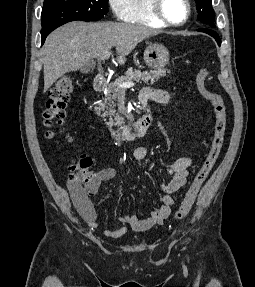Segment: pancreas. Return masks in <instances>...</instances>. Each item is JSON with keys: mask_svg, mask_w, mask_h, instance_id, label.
<instances>
[{"mask_svg": "<svg viewBox=\"0 0 255 287\" xmlns=\"http://www.w3.org/2000/svg\"><path fill=\"white\" fill-rule=\"evenodd\" d=\"M166 74H170L168 70L165 68H161V70H150V72H141V70H133V68H128V72H125V76H120V78H116L115 82L109 84L105 98H103V102H100L96 108L97 114H101L102 118L105 116H110L109 122L107 124H111V126H121L124 118H121L119 114H115L116 100L118 98L119 92H125L126 88H119V84H123V82H139V84H148V82H157L160 80L162 76H166ZM114 116V118H111Z\"/></svg>", "mask_w": 255, "mask_h": 287, "instance_id": "cf45deb5", "label": "pancreas"}]
</instances>
